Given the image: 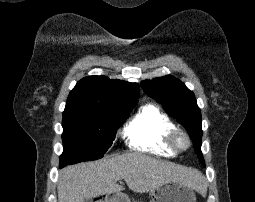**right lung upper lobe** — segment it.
Returning a JSON list of instances; mask_svg holds the SVG:
<instances>
[{
    "instance_id": "1",
    "label": "right lung upper lobe",
    "mask_w": 255,
    "mask_h": 202,
    "mask_svg": "<svg viewBox=\"0 0 255 202\" xmlns=\"http://www.w3.org/2000/svg\"><path fill=\"white\" fill-rule=\"evenodd\" d=\"M139 85L106 76L81 79L70 92L63 116L105 113L135 106Z\"/></svg>"
}]
</instances>
